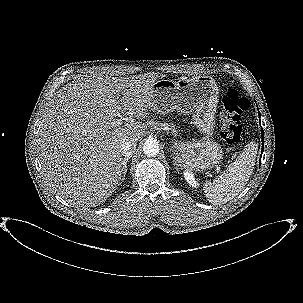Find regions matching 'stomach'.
Wrapping results in <instances>:
<instances>
[{"mask_svg": "<svg viewBox=\"0 0 303 303\" xmlns=\"http://www.w3.org/2000/svg\"><path fill=\"white\" fill-rule=\"evenodd\" d=\"M218 91L215 80L210 76L182 77L176 81L161 78L153 84L151 100L156 111L192 113V124L205 135L202 140L175 146L177 168L203 171L217 165L222 159L220 145L212 140Z\"/></svg>", "mask_w": 303, "mask_h": 303, "instance_id": "stomach-1", "label": "stomach"}]
</instances>
